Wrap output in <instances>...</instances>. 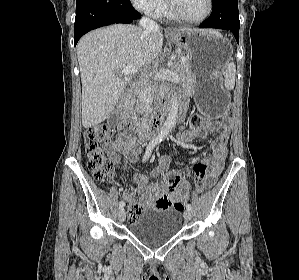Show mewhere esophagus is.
I'll return each instance as SVG.
<instances>
[{
  "mask_svg": "<svg viewBox=\"0 0 299 280\" xmlns=\"http://www.w3.org/2000/svg\"><path fill=\"white\" fill-rule=\"evenodd\" d=\"M166 32H167V33H174V32H175V29L172 28V27H167V28H166Z\"/></svg>",
  "mask_w": 299,
  "mask_h": 280,
  "instance_id": "esophagus-1",
  "label": "esophagus"
}]
</instances>
